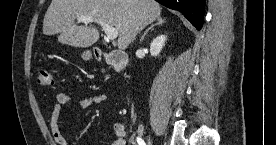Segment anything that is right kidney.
<instances>
[{
  "label": "right kidney",
  "mask_w": 276,
  "mask_h": 145,
  "mask_svg": "<svg viewBox=\"0 0 276 145\" xmlns=\"http://www.w3.org/2000/svg\"><path fill=\"white\" fill-rule=\"evenodd\" d=\"M166 36L159 35L153 39L152 43L150 44V53L151 56L156 57L161 52L163 46L165 45Z\"/></svg>",
  "instance_id": "ca27d5eb"
}]
</instances>
